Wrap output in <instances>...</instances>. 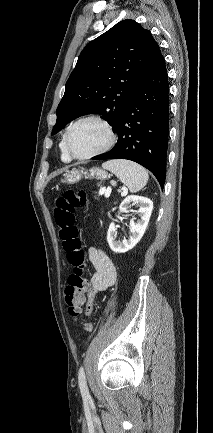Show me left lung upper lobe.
Here are the masks:
<instances>
[{"label":"left lung upper lobe","mask_w":213,"mask_h":433,"mask_svg":"<svg viewBox=\"0 0 213 433\" xmlns=\"http://www.w3.org/2000/svg\"><path fill=\"white\" fill-rule=\"evenodd\" d=\"M158 44L149 30L123 20L89 43L66 83L52 134L72 120L100 114L115 131L131 95L151 68Z\"/></svg>","instance_id":"1"}]
</instances>
